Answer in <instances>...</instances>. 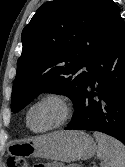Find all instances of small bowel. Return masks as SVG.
Masks as SVG:
<instances>
[{
	"label": "small bowel",
	"mask_w": 125,
	"mask_h": 167,
	"mask_svg": "<svg viewBox=\"0 0 125 167\" xmlns=\"http://www.w3.org/2000/svg\"><path fill=\"white\" fill-rule=\"evenodd\" d=\"M38 167H58L54 163H47V164H38Z\"/></svg>",
	"instance_id": "1"
}]
</instances>
